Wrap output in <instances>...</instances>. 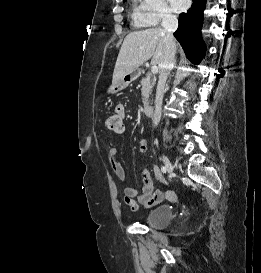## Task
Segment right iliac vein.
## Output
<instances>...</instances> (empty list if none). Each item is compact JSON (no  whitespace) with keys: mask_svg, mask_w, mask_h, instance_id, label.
Masks as SVG:
<instances>
[{"mask_svg":"<svg viewBox=\"0 0 261 273\" xmlns=\"http://www.w3.org/2000/svg\"><path fill=\"white\" fill-rule=\"evenodd\" d=\"M162 160H163V163H164V165H165L166 170H167L169 173H171V172L173 171V166H172L170 160H169V159L167 158V156H165V155L162 156Z\"/></svg>","mask_w":261,"mask_h":273,"instance_id":"obj_1","label":"right iliac vein"}]
</instances>
